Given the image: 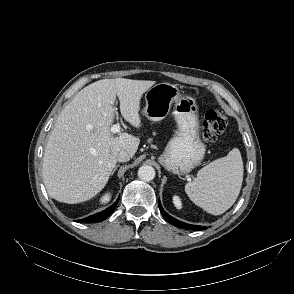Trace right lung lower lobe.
<instances>
[{"mask_svg":"<svg viewBox=\"0 0 294 294\" xmlns=\"http://www.w3.org/2000/svg\"><path fill=\"white\" fill-rule=\"evenodd\" d=\"M118 201H119V198L117 199V201L112 206H110L109 208H107L103 212L94 214L92 216H89V217L81 219V220H77V222L91 223V222L103 221L104 219H106L114 211V209L116 208V206L118 204Z\"/></svg>","mask_w":294,"mask_h":294,"instance_id":"98d812e1","label":"right lung lower lobe"}]
</instances>
